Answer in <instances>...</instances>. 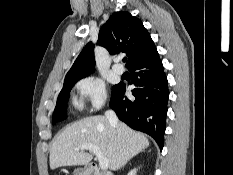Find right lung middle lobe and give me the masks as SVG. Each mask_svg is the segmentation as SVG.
I'll use <instances>...</instances> for the list:
<instances>
[{"label":"right lung middle lobe","instance_id":"obj_1","mask_svg":"<svg viewBox=\"0 0 233 175\" xmlns=\"http://www.w3.org/2000/svg\"><path fill=\"white\" fill-rule=\"evenodd\" d=\"M78 80L79 79L64 81L63 89L61 90L58 96L56 107L53 113V119H52L53 124H55L57 121H62L66 118V103L68 102L70 91L73 85ZM116 87L117 85L113 87V91L116 89Z\"/></svg>","mask_w":233,"mask_h":175}]
</instances>
